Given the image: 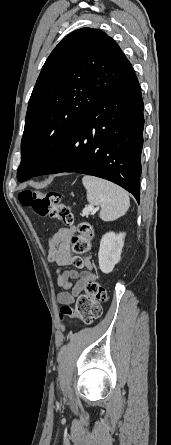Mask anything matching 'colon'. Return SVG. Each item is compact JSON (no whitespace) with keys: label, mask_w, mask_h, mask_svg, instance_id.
<instances>
[{"label":"colon","mask_w":171,"mask_h":445,"mask_svg":"<svg viewBox=\"0 0 171 445\" xmlns=\"http://www.w3.org/2000/svg\"><path fill=\"white\" fill-rule=\"evenodd\" d=\"M19 199L37 217L56 218L68 226H72L74 223L70 206L62 202L61 194L57 191L43 193L24 190L20 193ZM92 237L93 228L91 224L87 221L79 222L70 242L72 257L68 263L72 262L76 267L82 265L80 255L90 251ZM107 299L106 289L99 282L90 281L85 286V293L78 298L75 308L63 306L60 316L62 319L76 317L85 324H92L101 317V304L106 302Z\"/></svg>","instance_id":"obj_1"}]
</instances>
